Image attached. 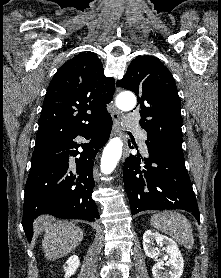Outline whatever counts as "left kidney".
Returning a JSON list of instances; mask_svg holds the SVG:
<instances>
[{
	"label": "left kidney",
	"mask_w": 221,
	"mask_h": 278,
	"mask_svg": "<svg viewBox=\"0 0 221 278\" xmlns=\"http://www.w3.org/2000/svg\"><path fill=\"white\" fill-rule=\"evenodd\" d=\"M164 246L163 250L170 256L169 260H162L152 268L154 278H180L183 272V258L175 241L167 236L161 235L158 232L147 230L143 234V248L145 254L150 258H157L158 248L154 247L155 243ZM164 265L170 266V270H165Z\"/></svg>",
	"instance_id": "5707ae66"
}]
</instances>
